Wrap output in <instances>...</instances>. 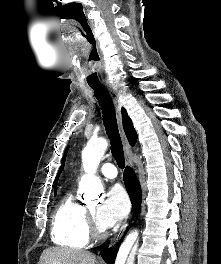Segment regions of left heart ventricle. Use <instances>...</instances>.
I'll return each mask as SVG.
<instances>
[{"label": "left heart ventricle", "instance_id": "obj_1", "mask_svg": "<svg viewBox=\"0 0 221 264\" xmlns=\"http://www.w3.org/2000/svg\"><path fill=\"white\" fill-rule=\"evenodd\" d=\"M89 210H90L91 212H93V213H94V212H95V210H96V206H90V207H89Z\"/></svg>", "mask_w": 221, "mask_h": 264}]
</instances>
